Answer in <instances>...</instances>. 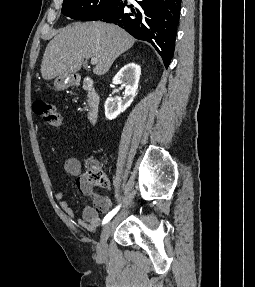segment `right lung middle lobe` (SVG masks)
I'll list each match as a JSON object with an SVG mask.
<instances>
[{
	"label": "right lung middle lobe",
	"mask_w": 255,
	"mask_h": 287,
	"mask_svg": "<svg viewBox=\"0 0 255 287\" xmlns=\"http://www.w3.org/2000/svg\"><path fill=\"white\" fill-rule=\"evenodd\" d=\"M121 0H64L62 13L73 19L100 20L113 11Z\"/></svg>",
	"instance_id": "1"
}]
</instances>
